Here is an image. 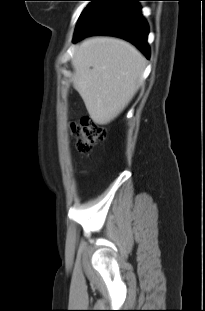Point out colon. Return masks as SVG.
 <instances>
[{
    "instance_id": "5ec220e1",
    "label": "colon",
    "mask_w": 205,
    "mask_h": 311,
    "mask_svg": "<svg viewBox=\"0 0 205 311\" xmlns=\"http://www.w3.org/2000/svg\"><path fill=\"white\" fill-rule=\"evenodd\" d=\"M76 137V147L80 153H89L94 145L104 139L106 131L103 127L84 117L73 126Z\"/></svg>"
}]
</instances>
